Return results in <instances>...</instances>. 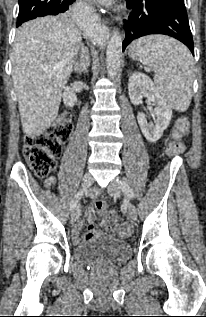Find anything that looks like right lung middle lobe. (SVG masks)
Returning <instances> with one entry per match:
<instances>
[{
	"mask_svg": "<svg viewBox=\"0 0 206 317\" xmlns=\"http://www.w3.org/2000/svg\"><path fill=\"white\" fill-rule=\"evenodd\" d=\"M60 0H19L17 26L23 22L45 15H58L60 11L55 5Z\"/></svg>",
	"mask_w": 206,
	"mask_h": 317,
	"instance_id": "obj_1",
	"label": "right lung middle lobe"
}]
</instances>
